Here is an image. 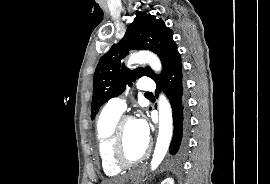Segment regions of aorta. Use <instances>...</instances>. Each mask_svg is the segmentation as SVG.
<instances>
[{
  "label": "aorta",
  "instance_id": "762f6f07",
  "mask_svg": "<svg viewBox=\"0 0 270 184\" xmlns=\"http://www.w3.org/2000/svg\"><path fill=\"white\" fill-rule=\"evenodd\" d=\"M136 63H148L156 72L161 70V62L159 58L151 52L141 51L132 54L128 60V64L131 65ZM158 109L159 132L151 161L152 170H155L163 161L168 151L173 134L172 110L168 100L163 94H161L159 97Z\"/></svg>",
  "mask_w": 270,
  "mask_h": 184
}]
</instances>
